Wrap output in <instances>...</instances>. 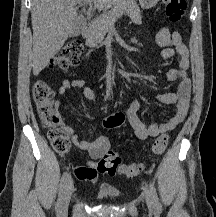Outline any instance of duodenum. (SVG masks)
<instances>
[{"label":"duodenum","instance_id":"obj_1","mask_svg":"<svg viewBox=\"0 0 216 217\" xmlns=\"http://www.w3.org/2000/svg\"><path fill=\"white\" fill-rule=\"evenodd\" d=\"M82 33H83V35H88V33H89V27L88 26L84 27Z\"/></svg>","mask_w":216,"mask_h":217}]
</instances>
